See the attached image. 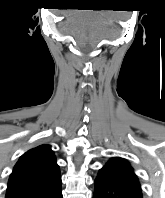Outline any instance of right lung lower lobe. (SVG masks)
Returning a JSON list of instances; mask_svg holds the SVG:
<instances>
[{"instance_id":"1","label":"right lung lower lobe","mask_w":165,"mask_h":198,"mask_svg":"<svg viewBox=\"0 0 165 198\" xmlns=\"http://www.w3.org/2000/svg\"><path fill=\"white\" fill-rule=\"evenodd\" d=\"M48 198H63L62 197V192H61V188L58 189L55 193H53L52 195H50Z\"/></svg>"}]
</instances>
